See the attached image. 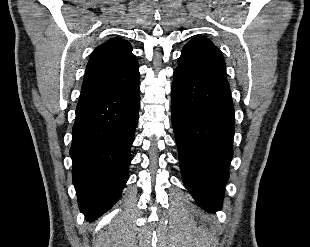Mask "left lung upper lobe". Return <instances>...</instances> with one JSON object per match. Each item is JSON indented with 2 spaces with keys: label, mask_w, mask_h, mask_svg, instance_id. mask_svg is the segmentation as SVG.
<instances>
[{
  "label": "left lung upper lobe",
  "mask_w": 310,
  "mask_h": 247,
  "mask_svg": "<svg viewBox=\"0 0 310 247\" xmlns=\"http://www.w3.org/2000/svg\"><path fill=\"white\" fill-rule=\"evenodd\" d=\"M176 69L228 85L221 51L203 37L194 38L184 46Z\"/></svg>",
  "instance_id": "left-lung-upper-lobe-1"
}]
</instances>
